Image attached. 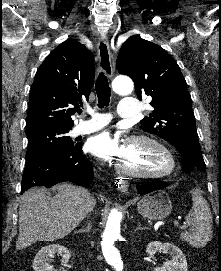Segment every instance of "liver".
I'll use <instances>...</instances> for the list:
<instances>
[{"instance_id": "obj_1", "label": "liver", "mask_w": 221, "mask_h": 271, "mask_svg": "<svg viewBox=\"0 0 221 271\" xmlns=\"http://www.w3.org/2000/svg\"><path fill=\"white\" fill-rule=\"evenodd\" d=\"M58 193L50 197L45 187H30L20 197L19 235L16 249L35 241H55L65 237L87 217L95 199L85 187L73 183L55 185Z\"/></svg>"}]
</instances>
